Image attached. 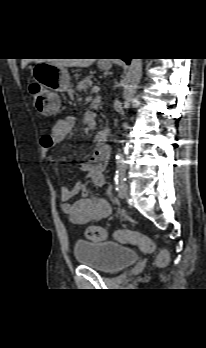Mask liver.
Listing matches in <instances>:
<instances>
[{
	"instance_id": "obj_1",
	"label": "liver",
	"mask_w": 206,
	"mask_h": 348,
	"mask_svg": "<svg viewBox=\"0 0 206 348\" xmlns=\"http://www.w3.org/2000/svg\"><path fill=\"white\" fill-rule=\"evenodd\" d=\"M30 61V59H23L22 68H25ZM94 61L95 59H52L49 63L63 67H89Z\"/></svg>"
}]
</instances>
